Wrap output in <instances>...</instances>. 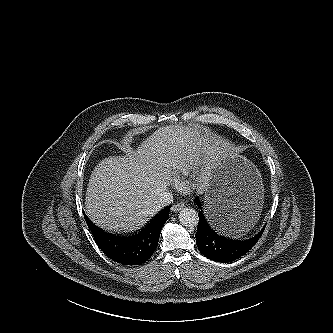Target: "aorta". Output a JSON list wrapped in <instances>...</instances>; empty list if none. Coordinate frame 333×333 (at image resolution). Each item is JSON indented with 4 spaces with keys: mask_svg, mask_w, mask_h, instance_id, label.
Listing matches in <instances>:
<instances>
[{
    "mask_svg": "<svg viewBox=\"0 0 333 333\" xmlns=\"http://www.w3.org/2000/svg\"><path fill=\"white\" fill-rule=\"evenodd\" d=\"M199 216L193 208H184L179 213V221L186 227H193L198 224Z\"/></svg>",
    "mask_w": 333,
    "mask_h": 333,
    "instance_id": "762f6f07",
    "label": "aorta"
}]
</instances>
